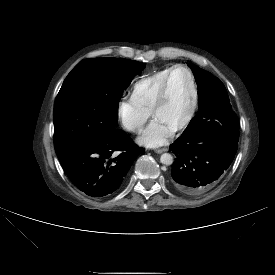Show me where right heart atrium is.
Returning a JSON list of instances; mask_svg holds the SVG:
<instances>
[{
  "label": "right heart atrium",
  "instance_id": "obj_1",
  "mask_svg": "<svg viewBox=\"0 0 275 275\" xmlns=\"http://www.w3.org/2000/svg\"><path fill=\"white\" fill-rule=\"evenodd\" d=\"M150 114V110L137 104L132 97H123L116 105L117 119L122 128L128 132L140 131Z\"/></svg>",
  "mask_w": 275,
  "mask_h": 275
}]
</instances>
